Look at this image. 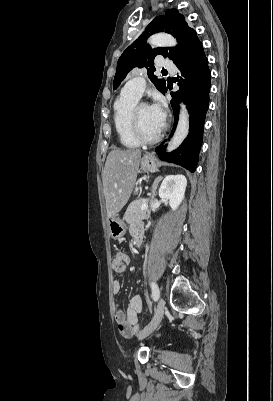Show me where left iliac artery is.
<instances>
[{
	"instance_id": "obj_1",
	"label": "left iliac artery",
	"mask_w": 273,
	"mask_h": 401,
	"mask_svg": "<svg viewBox=\"0 0 273 401\" xmlns=\"http://www.w3.org/2000/svg\"><path fill=\"white\" fill-rule=\"evenodd\" d=\"M151 288H152V298L156 302L160 296L158 286L155 282H151Z\"/></svg>"
}]
</instances>
